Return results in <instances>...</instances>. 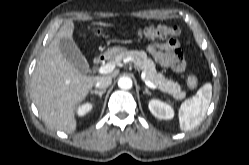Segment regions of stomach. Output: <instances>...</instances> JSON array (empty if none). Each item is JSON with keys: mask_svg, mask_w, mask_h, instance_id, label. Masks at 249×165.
<instances>
[{"mask_svg": "<svg viewBox=\"0 0 249 165\" xmlns=\"http://www.w3.org/2000/svg\"><path fill=\"white\" fill-rule=\"evenodd\" d=\"M122 51H124V48L120 46H114V47L108 48L103 55L105 58L110 59L116 56L117 54L121 53Z\"/></svg>", "mask_w": 249, "mask_h": 165, "instance_id": "obj_1", "label": "stomach"}]
</instances>
